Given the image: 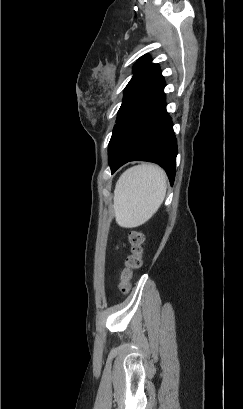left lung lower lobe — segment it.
<instances>
[{"label": "left lung lower lobe", "instance_id": "obj_1", "mask_svg": "<svg viewBox=\"0 0 243 409\" xmlns=\"http://www.w3.org/2000/svg\"><path fill=\"white\" fill-rule=\"evenodd\" d=\"M164 85L159 70L118 120L115 126L118 153L110 164L112 173L129 161H149L160 165L173 185L177 142L166 112Z\"/></svg>", "mask_w": 243, "mask_h": 409}]
</instances>
